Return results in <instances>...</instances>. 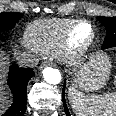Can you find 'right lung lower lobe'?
<instances>
[{"label": "right lung lower lobe", "mask_w": 116, "mask_h": 116, "mask_svg": "<svg viewBox=\"0 0 116 116\" xmlns=\"http://www.w3.org/2000/svg\"><path fill=\"white\" fill-rule=\"evenodd\" d=\"M33 76L32 68H19L18 65L10 66L8 85L13 94V103L2 116H23L25 114L27 84Z\"/></svg>", "instance_id": "right-lung-lower-lobe-1"}]
</instances>
